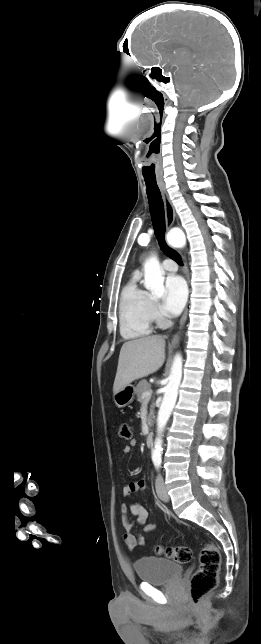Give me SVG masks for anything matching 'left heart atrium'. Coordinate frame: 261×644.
<instances>
[{
    "label": "left heart atrium",
    "instance_id": "obj_1",
    "mask_svg": "<svg viewBox=\"0 0 261 644\" xmlns=\"http://www.w3.org/2000/svg\"><path fill=\"white\" fill-rule=\"evenodd\" d=\"M187 299V287L178 275H171L165 282V297L163 300V310L169 316L178 315Z\"/></svg>",
    "mask_w": 261,
    "mask_h": 644
}]
</instances>
